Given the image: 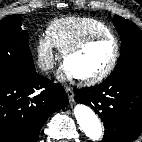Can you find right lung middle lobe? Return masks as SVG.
<instances>
[{
  "instance_id": "obj_1",
  "label": "right lung middle lobe",
  "mask_w": 142,
  "mask_h": 142,
  "mask_svg": "<svg viewBox=\"0 0 142 142\" xmlns=\"http://www.w3.org/2000/svg\"><path fill=\"white\" fill-rule=\"evenodd\" d=\"M21 15L0 20V77L22 76L35 71L28 33L21 29Z\"/></svg>"
}]
</instances>
